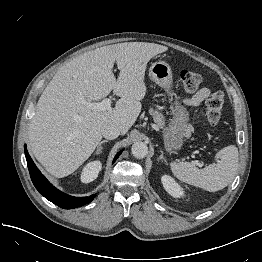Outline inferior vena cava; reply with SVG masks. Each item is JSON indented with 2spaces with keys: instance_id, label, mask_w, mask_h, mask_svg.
Listing matches in <instances>:
<instances>
[{
  "instance_id": "obj_1",
  "label": "inferior vena cava",
  "mask_w": 262,
  "mask_h": 262,
  "mask_svg": "<svg viewBox=\"0 0 262 262\" xmlns=\"http://www.w3.org/2000/svg\"><path fill=\"white\" fill-rule=\"evenodd\" d=\"M120 132V128L115 124H106L101 129L102 136L109 140L117 138Z\"/></svg>"
}]
</instances>
